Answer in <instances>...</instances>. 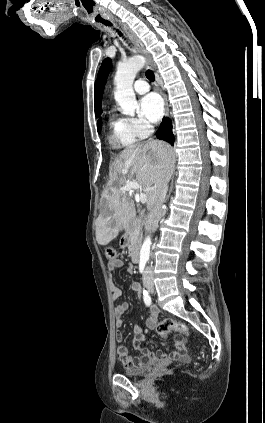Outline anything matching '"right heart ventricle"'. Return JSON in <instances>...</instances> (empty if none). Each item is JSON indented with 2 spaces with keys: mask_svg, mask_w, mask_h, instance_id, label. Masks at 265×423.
Listing matches in <instances>:
<instances>
[{
  "mask_svg": "<svg viewBox=\"0 0 265 423\" xmlns=\"http://www.w3.org/2000/svg\"><path fill=\"white\" fill-rule=\"evenodd\" d=\"M109 129V140L112 145H130L136 141L129 130L127 120L124 118L112 117L109 120Z\"/></svg>",
  "mask_w": 265,
  "mask_h": 423,
  "instance_id": "right-heart-ventricle-1",
  "label": "right heart ventricle"
}]
</instances>
